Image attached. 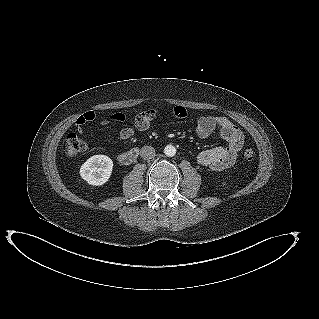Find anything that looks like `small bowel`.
Returning a JSON list of instances; mask_svg holds the SVG:
<instances>
[{
  "instance_id": "small-bowel-1",
  "label": "small bowel",
  "mask_w": 319,
  "mask_h": 319,
  "mask_svg": "<svg viewBox=\"0 0 319 319\" xmlns=\"http://www.w3.org/2000/svg\"><path fill=\"white\" fill-rule=\"evenodd\" d=\"M90 113L93 114L92 112ZM172 114L176 118L183 119L187 117L188 112L185 107L176 106L173 108ZM117 115L119 114L113 115L110 121L121 122L122 120L114 118V116ZM156 115V109H149L139 113L135 117L133 127H124L120 130L118 140H127L131 138L134 135L135 130H147ZM92 119L89 120L87 118V113L84 114L76 122L77 129L82 131V126ZM105 123H108V121H105ZM216 130L218 131L219 136L225 141L226 146H218L202 151L197 156V162L200 165L209 167L214 171H222L235 164L238 153L244 144V135L241 130L226 117L204 115L198 119L196 134L200 138H206Z\"/></svg>"
}]
</instances>
